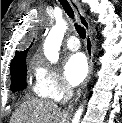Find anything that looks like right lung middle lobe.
Here are the masks:
<instances>
[{
	"label": "right lung middle lobe",
	"mask_w": 122,
	"mask_h": 123,
	"mask_svg": "<svg viewBox=\"0 0 122 123\" xmlns=\"http://www.w3.org/2000/svg\"><path fill=\"white\" fill-rule=\"evenodd\" d=\"M11 73V90L13 92L18 90H23L26 87V75H27V68H26V61L21 63L19 66L10 70Z\"/></svg>",
	"instance_id": "1"
}]
</instances>
